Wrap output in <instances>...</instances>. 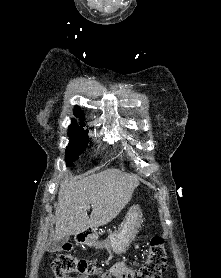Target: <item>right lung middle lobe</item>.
<instances>
[{"label": "right lung middle lobe", "instance_id": "right-lung-middle-lobe-1", "mask_svg": "<svg viewBox=\"0 0 221 278\" xmlns=\"http://www.w3.org/2000/svg\"><path fill=\"white\" fill-rule=\"evenodd\" d=\"M78 127L75 122L69 126L68 133L70 136V142L66 148V165L70 166L75 160L79 158V155L84 152L88 145L87 131L82 128L83 123Z\"/></svg>", "mask_w": 221, "mask_h": 278}]
</instances>
